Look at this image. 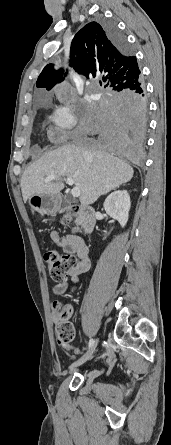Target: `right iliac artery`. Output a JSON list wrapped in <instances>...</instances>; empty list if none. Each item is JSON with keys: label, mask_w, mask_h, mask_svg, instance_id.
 <instances>
[{"label": "right iliac artery", "mask_w": 171, "mask_h": 445, "mask_svg": "<svg viewBox=\"0 0 171 445\" xmlns=\"http://www.w3.org/2000/svg\"><path fill=\"white\" fill-rule=\"evenodd\" d=\"M93 343H94V340H93V339H90V340H89V349L91 348V346L93 345Z\"/></svg>", "instance_id": "obj_1"}]
</instances>
